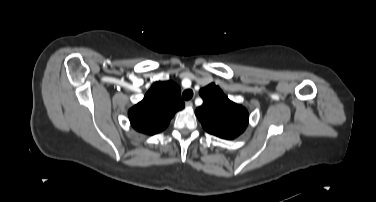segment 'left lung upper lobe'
<instances>
[{
	"label": "left lung upper lobe",
	"mask_w": 376,
	"mask_h": 202,
	"mask_svg": "<svg viewBox=\"0 0 376 202\" xmlns=\"http://www.w3.org/2000/svg\"><path fill=\"white\" fill-rule=\"evenodd\" d=\"M202 106L195 111L202 127L208 133L223 139H234L248 125L247 110L228 99L214 83L199 91Z\"/></svg>",
	"instance_id": "obj_1"
}]
</instances>
